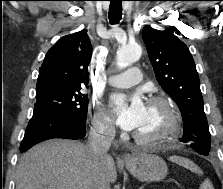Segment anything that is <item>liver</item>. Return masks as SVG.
<instances>
[{
    "label": "liver",
    "instance_id": "6515ba94",
    "mask_svg": "<svg viewBox=\"0 0 223 189\" xmlns=\"http://www.w3.org/2000/svg\"><path fill=\"white\" fill-rule=\"evenodd\" d=\"M100 174L109 183L116 181L111 156L101 161L81 142L53 139L37 144L21 157L16 189H94Z\"/></svg>",
    "mask_w": 223,
    "mask_h": 189
}]
</instances>
